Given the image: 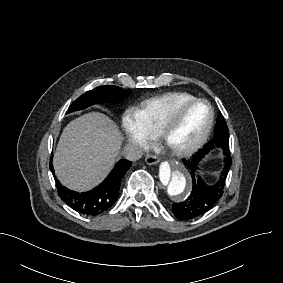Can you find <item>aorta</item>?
<instances>
[{
    "label": "aorta",
    "instance_id": "aorta-1",
    "mask_svg": "<svg viewBox=\"0 0 283 283\" xmlns=\"http://www.w3.org/2000/svg\"><path fill=\"white\" fill-rule=\"evenodd\" d=\"M158 187L163 197L176 202L188 199L192 188V180L187 168L179 161L169 160L160 164Z\"/></svg>",
    "mask_w": 283,
    "mask_h": 283
}]
</instances>
